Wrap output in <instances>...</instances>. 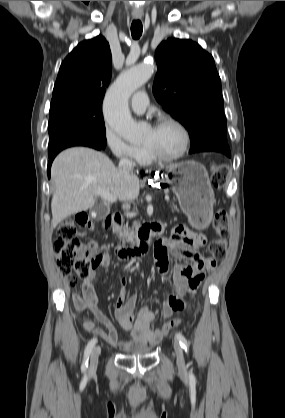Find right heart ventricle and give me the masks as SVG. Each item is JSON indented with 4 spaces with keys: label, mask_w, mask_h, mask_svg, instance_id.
I'll return each instance as SVG.
<instances>
[{
    "label": "right heart ventricle",
    "mask_w": 285,
    "mask_h": 418,
    "mask_svg": "<svg viewBox=\"0 0 285 418\" xmlns=\"http://www.w3.org/2000/svg\"><path fill=\"white\" fill-rule=\"evenodd\" d=\"M139 162L144 163V164H148L152 162V159L149 158V156L145 153V151L143 150L138 157Z\"/></svg>",
    "instance_id": "e07e8e85"
}]
</instances>
